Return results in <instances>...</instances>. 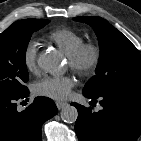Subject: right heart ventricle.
<instances>
[{
    "label": "right heart ventricle",
    "mask_w": 141,
    "mask_h": 141,
    "mask_svg": "<svg viewBox=\"0 0 141 141\" xmlns=\"http://www.w3.org/2000/svg\"><path fill=\"white\" fill-rule=\"evenodd\" d=\"M48 39L67 56L84 44V37L71 28H59L48 34Z\"/></svg>",
    "instance_id": "obj_1"
}]
</instances>
